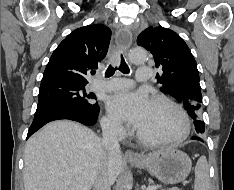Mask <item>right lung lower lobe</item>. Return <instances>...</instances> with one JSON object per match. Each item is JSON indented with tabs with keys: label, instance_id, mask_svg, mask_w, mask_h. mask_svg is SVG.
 I'll return each instance as SVG.
<instances>
[{
	"label": "right lung lower lobe",
	"instance_id": "obj_1",
	"mask_svg": "<svg viewBox=\"0 0 234 190\" xmlns=\"http://www.w3.org/2000/svg\"><path fill=\"white\" fill-rule=\"evenodd\" d=\"M99 109L93 113H88L76 108L67 106H51L43 109L39 113L34 115V120L29 128L27 138H29L34 132L39 130L46 123L60 120L68 119L80 122L84 125H94L97 122V115Z\"/></svg>",
	"mask_w": 234,
	"mask_h": 190
}]
</instances>
